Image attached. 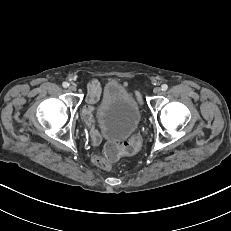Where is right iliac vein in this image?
Masks as SVG:
<instances>
[{
	"mask_svg": "<svg viewBox=\"0 0 231 231\" xmlns=\"http://www.w3.org/2000/svg\"><path fill=\"white\" fill-rule=\"evenodd\" d=\"M76 85L74 84H71L69 87H68V90L71 91V92H75L76 91Z\"/></svg>",
	"mask_w": 231,
	"mask_h": 231,
	"instance_id": "right-iliac-vein-1",
	"label": "right iliac vein"
}]
</instances>
